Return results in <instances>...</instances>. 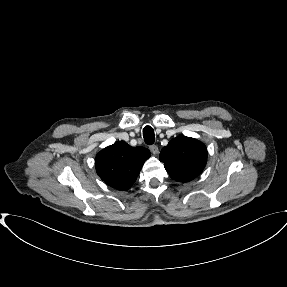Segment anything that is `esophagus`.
<instances>
[{
    "label": "esophagus",
    "instance_id": "esophagus-1",
    "mask_svg": "<svg viewBox=\"0 0 287 287\" xmlns=\"http://www.w3.org/2000/svg\"><path fill=\"white\" fill-rule=\"evenodd\" d=\"M149 149H150V151H151L154 155H156V154L158 153V151H159L157 145H151V146L149 147Z\"/></svg>",
    "mask_w": 287,
    "mask_h": 287
}]
</instances>
